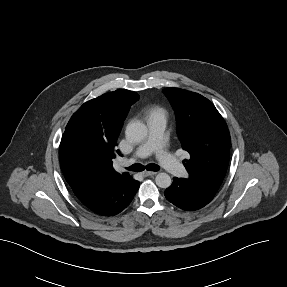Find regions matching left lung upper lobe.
<instances>
[{"mask_svg":"<svg viewBox=\"0 0 287 287\" xmlns=\"http://www.w3.org/2000/svg\"><path fill=\"white\" fill-rule=\"evenodd\" d=\"M163 93L176 113L177 132L190 158L184 160L189 180L218 191L230 155L228 127L215 106L198 93L166 88Z\"/></svg>","mask_w":287,"mask_h":287,"instance_id":"5c2ea615","label":"left lung upper lobe"}]
</instances>
